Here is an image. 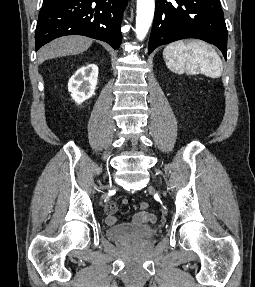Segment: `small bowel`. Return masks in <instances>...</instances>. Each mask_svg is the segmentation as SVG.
<instances>
[{"instance_id":"obj_1","label":"small bowel","mask_w":255,"mask_h":287,"mask_svg":"<svg viewBox=\"0 0 255 287\" xmlns=\"http://www.w3.org/2000/svg\"><path fill=\"white\" fill-rule=\"evenodd\" d=\"M123 204H128V199H122ZM106 224L109 226H113L117 223V206L115 203L111 202L106 205ZM157 216L154 213L147 212V211H140L134 214L131 218L130 223L139 224V223H151L154 224L157 222Z\"/></svg>"}]
</instances>
